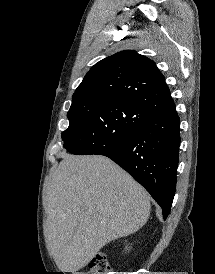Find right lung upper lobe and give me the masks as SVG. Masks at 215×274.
<instances>
[{"label": "right lung upper lobe", "instance_id": "right-lung-upper-lobe-1", "mask_svg": "<svg viewBox=\"0 0 215 274\" xmlns=\"http://www.w3.org/2000/svg\"><path fill=\"white\" fill-rule=\"evenodd\" d=\"M98 100L127 102L153 114L175 107L155 63L130 50L96 63L76 89L72 103Z\"/></svg>", "mask_w": 215, "mask_h": 274}]
</instances>
